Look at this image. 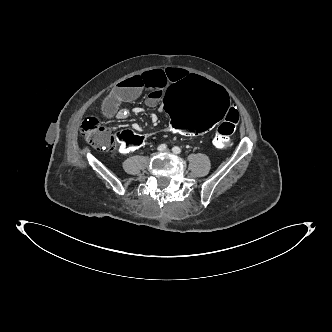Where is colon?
<instances>
[{"label":"colon","mask_w":332,"mask_h":332,"mask_svg":"<svg viewBox=\"0 0 332 332\" xmlns=\"http://www.w3.org/2000/svg\"><path fill=\"white\" fill-rule=\"evenodd\" d=\"M227 108V93L220 84L197 75L184 76L165 95L164 110L168 121L165 130L171 134L205 132L224 117ZM237 122L238 113L234 110L222 119L214 137L217 147L230 145ZM80 131L89 145L107 151L116 149L114 135L95 117L85 118ZM152 141L150 133L138 136L135 132H122L119 152L133 153L140 145L150 144Z\"/></svg>","instance_id":"colon-1"}]
</instances>
